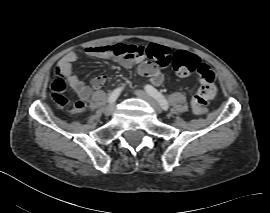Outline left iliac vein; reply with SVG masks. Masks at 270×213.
Returning a JSON list of instances; mask_svg holds the SVG:
<instances>
[{"label":"left iliac vein","instance_id":"1","mask_svg":"<svg viewBox=\"0 0 270 213\" xmlns=\"http://www.w3.org/2000/svg\"><path fill=\"white\" fill-rule=\"evenodd\" d=\"M136 95H137L139 98H141V99L147 101V102L154 108V110H155L158 114H160V113L162 112V107H161V105L157 102V100L154 99L151 95H149V94L146 93L145 91L137 90V91H136Z\"/></svg>","mask_w":270,"mask_h":213}]
</instances>
